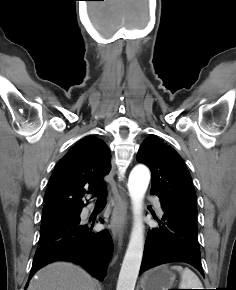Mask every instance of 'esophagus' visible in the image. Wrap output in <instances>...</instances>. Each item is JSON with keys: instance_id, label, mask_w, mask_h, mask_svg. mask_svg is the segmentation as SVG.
Returning a JSON list of instances; mask_svg holds the SVG:
<instances>
[{"instance_id": "esophagus-1", "label": "esophagus", "mask_w": 236, "mask_h": 290, "mask_svg": "<svg viewBox=\"0 0 236 290\" xmlns=\"http://www.w3.org/2000/svg\"><path fill=\"white\" fill-rule=\"evenodd\" d=\"M127 206L128 202L124 196V193H121L119 200H116L115 202L110 223V228L115 239L125 230L127 221Z\"/></svg>"}]
</instances>
